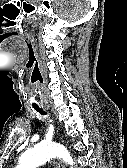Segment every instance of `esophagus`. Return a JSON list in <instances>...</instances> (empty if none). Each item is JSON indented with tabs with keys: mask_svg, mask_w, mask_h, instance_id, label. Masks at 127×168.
I'll return each instance as SVG.
<instances>
[{
	"mask_svg": "<svg viewBox=\"0 0 127 168\" xmlns=\"http://www.w3.org/2000/svg\"><path fill=\"white\" fill-rule=\"evenodd\" d=\"M56 168H64V165L61 162H58Z\"/></svg>",
	"mask_w": 127,
	"mask_h": 168,
	"instance_id": "esophagus-1",
	"label": "esophagus"
}]
</instances>
